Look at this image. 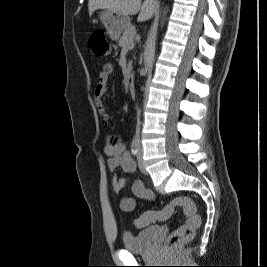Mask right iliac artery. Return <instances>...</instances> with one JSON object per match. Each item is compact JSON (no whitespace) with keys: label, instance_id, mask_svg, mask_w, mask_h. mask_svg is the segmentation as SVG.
<instances>
[{"label":"right iliac artery","instance_id":"1","mask_svg":"<svg viewBox=\"0 0 267 267\" xmlns=\"http://www.w3.org/2000/svg\"><path fill=\"white\" fill-rule=\"evenodd\" d=\"M138 150H139V147H138L137 141H133L132 144H131V153H132V155L136 156L138 154Z\"/></svg>","mask_w":267,"mask_h":267}]
</instances>
